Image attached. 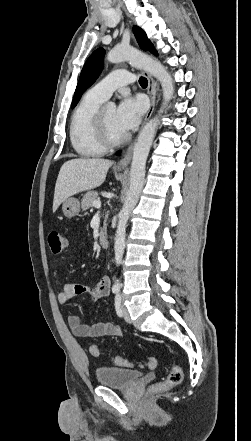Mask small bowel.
Returning a JSON list of instances; mask_svg holds the SVG:
<instances>
[{"mask_svg":"<svg viewBox=\"0 0 251 441\" xmlns=\"http://www.w3.org/2000/svg\"><path fill=\"white\" fill-rule=\"evenodd\" d=\"M110 293V280L108 277H101L96 284L90 286L79 283H68L57 293V300L60 304H66L74 297L86 295L92 301L104 298ZM67 322L71 332L81 338L101 336H121L122 330L118 325L110 322H98L92 325L83 324L77 315L69 314Z\"/></svg>","mask_w":251,"mask_h":441,"instance_id":"obj_1","label":"small bowel"}]
</instances>
